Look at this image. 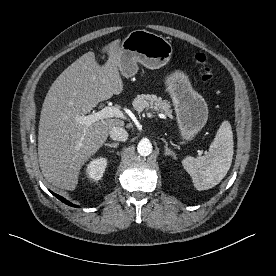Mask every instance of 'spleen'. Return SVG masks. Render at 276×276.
I'll return each mask as SVG.
<instances>
[{"instance_id":"spleen-1","label":"spleen","mask_w":276,"mask_h":276,"mask_svg":"<svg viewBox=\"0 0 276 276\" xmlns=\"http://www.w3.org/2000/svg\"><path fill=\"white\" fill-rule=\"evenodd\" d=\"M234 154L233 133L229 121L221 123L209 152L202 157H185L184 169L190 174L197 190L210 189L221 182L230 169Z\"/></svg>"}]
</instances>
